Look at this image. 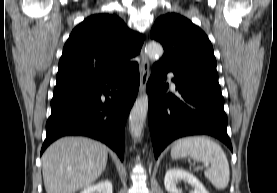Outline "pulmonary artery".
Wrapping results in <instances>:
<instances>
[{"label": "pulmonary artery", "mask_w": 277, "mask_h": 193, "mask_svg": "<svg viewBox=\"0 0 277 193\" xmlns=\"http://www.w3.org/2000/svg\"><path fill=\"white\" fill-rule=\"evenodd\" d=\"M169 81H170L171 87H172L173 89H175V88H176V85H175V83H174V81H173L171 75L169 76Z\"/></svg>", "instance_id": "pulmonary-artery-1"}]
</instances>
